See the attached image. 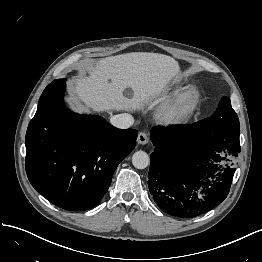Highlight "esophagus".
<instances>
[{
	"instance_id": "obj_1",
	"label": "esophagus",
	"mask_w": 262,
	"mask_h": 262,
	"mask_svg": "<svg viewBox=\"0 0 262 262\" xmlns=\"http://www.w3.org/2000/svg\"><path fill=\"white\" fill-rule=\"evenodd\" d=\"M148 141H149V137H148V134H147L146 132H140V133L138 134L137 142H138L139 144L144 145V144H147Z\"/></svg>"
}]
</instances>
